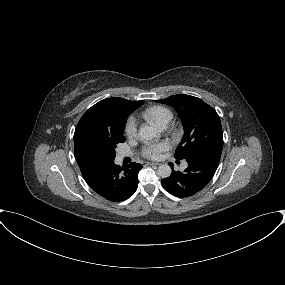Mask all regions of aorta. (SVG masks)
Returning a JSON list of instances; mask_svg holds the SVG:
<instances>
[{
  "label": "aorta",
  "mask_w": 285,
  "mask_h": 285,
  "mask_svg": "<svg viewBox=\"0 0 285 285\" xmlns=\"http://www.w3.org/2000/svg\"><path fill=\"white\" fill-rule=\"evenodd\" d=\"M139 137L142 140H151L157 136V130L153 126H143L139 129ZM172 173V169L168 164H161L158 167V175L162 178H168Z\"/></svg>",
  "instance_id": "762f6f07"
}]
</instances>
